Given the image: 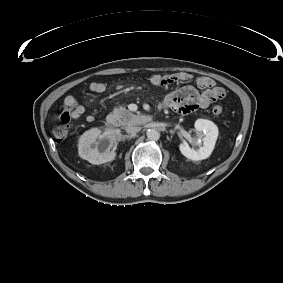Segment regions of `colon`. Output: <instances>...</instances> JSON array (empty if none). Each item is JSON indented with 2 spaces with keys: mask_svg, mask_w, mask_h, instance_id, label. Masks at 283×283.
I'll return each instance as SVG.
<instances>
[{
  "mask_svg": "<svg viewBox=\"0 0 283 283\" xmlns=\"http://www.w3.org/2000/svg\"><path fill=\"white\" fill-rule=\"evenodd\" d=\"M212 113L216 117H220L225 113V108L222 105H215L212 108ZM62 123L53 129V135L57 140H63L69 133V121L66 117L61 118Z\"/></svg>",
  "mask_w": 283,
  "mask_h": 283,
  "instance_id": "obj_1",
  "label": "colon"
}]
</instances>
